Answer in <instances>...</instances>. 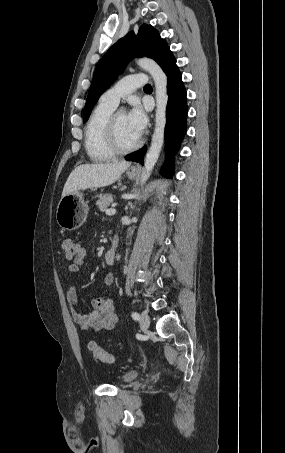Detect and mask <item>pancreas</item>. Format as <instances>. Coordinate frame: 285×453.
I'll return each instance as SVG.
<instances>
[{
  "instance_id": "cf45deb5",
  "label": "pancreas",
  "mask_w": 285,
  "mask_h": 453,
  "mask_svg": "<svg viewBox=\"0 0 285 453\" xmlns=\"http://www.w3.org/2000/svg\"><path fill=\"white\" fill-rule=\"evenodd\" d=\"M112 200V195L111 194H105L99 198V200L96 202V205L98 206L100 211H106L107 208L110 205V202Z\"/></svg>"
}]
</instances>
